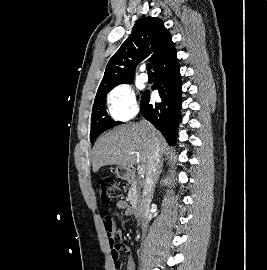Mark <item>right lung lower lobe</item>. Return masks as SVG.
<instances>
[{"mask_svg":"<svg viewBox=\"0 0 267 270\" xmlns=\"http://www.w3.org/2000/svg\"><path fill=\"white\" fill-rule=\"evenodd\" d=\"M154 70L155 84L162 99L150 102V91L142 94L140 111L165 137L168 144L175 145L181 109V75L175 46L173 45L157 62Z\"/></svg>","mask_w":267,"mask_h":270,"instance_id":"98d812e1","label":"right lung lower lobe"}]
</instances>
